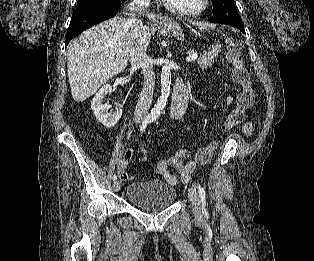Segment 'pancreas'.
Returning <instances> with one entry per match:
<instances>
[{
    "instance_id": "1",
    "label": "pancreas",
    "mask_w": 314,
    "mask_h": 261,
    "mask_svg": "<svg viewBox=\"0 0 314 261\" xmlns=\"http://www.w3.org/2000/svg\"><path fill=\"white\" fill-rule=\"evenodd\" d=\"M221 45L215 44L212 47V50L204 53L203 55H200L199 59L197 60V63L201 69H207L208 67H211L215 64L216 58L218 57L219 52L221 51ZM189 55L194 54V50L190 49L188 51Z\"/></svg>"
}]
</instances>
